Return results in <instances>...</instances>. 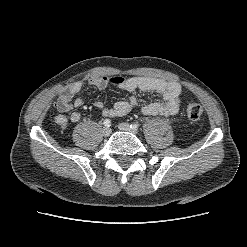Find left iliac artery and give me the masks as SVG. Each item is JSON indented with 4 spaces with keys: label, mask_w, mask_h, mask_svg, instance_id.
Listing matches in <instances>:
<instances>
[{
    "label": "left iliac artery",
    "mask_w": 247,
    "mask_h": 247,
    "mask_svg": "<svg viewBox=\"0 0 247 247\" xmlns=\"http://www.w3.org/2000/svg\"><path fill=\"white\" fill-rule=\"evenodd\" d=\"M130 127H131L132 129L137 130L138 127H139V125H138L137 123H132V124L130 125Z\"/></svg>",
    "instance_id": "1"
}]
</instances>
